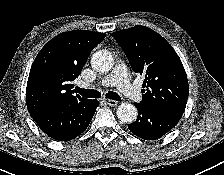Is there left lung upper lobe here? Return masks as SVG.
Masks as SVG:
<instances>
[{
	"mask_svg": "<svg viewBox=\"0 0 224 175\" xmlns=\"http://www.w3.org/2000/svg\"><path fill=\"white\" fill-rule=\"evenodd\" d=\"M134 72L144 76L140 104L183 114L189 85L183 64L171 45L145 26L112 33Z\"/></svg>",
	"mask_w": 224,
	"mask_h": 175,
	"instance_id": "left-lung-upper-lobe-1",
	"label": "left lung upper lobe"
}]
</instances>
